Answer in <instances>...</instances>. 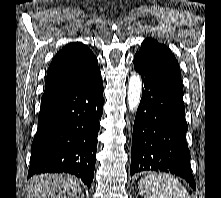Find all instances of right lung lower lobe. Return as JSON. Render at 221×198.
Segmentation results:
<instances>
[{"mask_svg":"<svg viewBox=\"0 0 221 198\" xmlns=\"http://www.w3.org/2000/svg\"><path fill=\"white\" fill-rule=\"evenodd\" d=\"M41 104L28 177L65 172L90 187L103 113L100 70L77 87Z\"/></svg>","mask_w":221,"mask_h":198,"instance_id":"98d812e1","label":"right lung lower lobe"}]
</instances>
